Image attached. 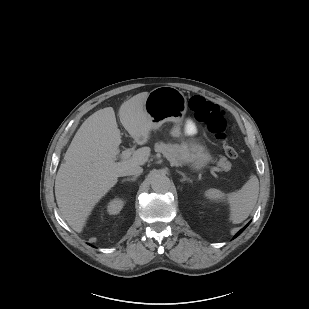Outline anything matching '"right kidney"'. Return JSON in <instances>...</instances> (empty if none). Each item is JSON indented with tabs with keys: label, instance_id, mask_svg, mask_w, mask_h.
Segmentation results:
<instances>
[{
	"label": "right kidney",
	"instance_id": "obj_1",
	"mask_svg": "<svg viewBox=\"0 0 309 309\" xmlns=\"http://www.w3.org/2000/svg\"><path fill=\"white\" fill-rule=\"evenodd\" d=\"M123 208V201L120 199H114L110 201L107 205V212L110 215L118 214Z\"/></svg>",
	"mask_w": 309,
	"mask_h": 309
}]
</instances>
